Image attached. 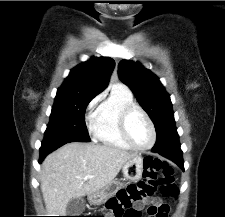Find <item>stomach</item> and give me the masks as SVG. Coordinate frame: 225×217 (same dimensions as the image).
Segmentation results:
<instances>
[{
	"label": "stomach",
	"instance_id": "0dacf381",
	"mask_svg": "<svg viewBox=\"0 0 225 217\" xmlns=\"http://www.w3.org/2000/svg\"><path fill=\"white\" fill-rule=\"evenodd\" d=\"M144 159L137 155L134 158L128 160L122 167L123 176L128 181L136 182L142 178L144 171ZM122 183L114 180L104 188L91 194L89 201L93 205H101L105 203L109 198L114 196L118 190L122 187Z\"/></svg>",
	"mask_w": 225,
	"mask_h": 217
}]
</instances>
